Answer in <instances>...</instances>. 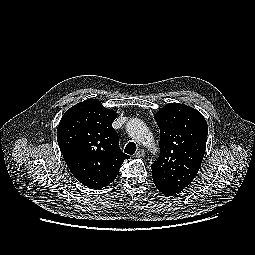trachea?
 Masks as SVG:
<instances>
[{"label":"trachea","instance_id":"obj_1","mask_svg":"<svg viewBox=\"0 0 255 255\" xmlns=\"http://www.w3.org/2000/svg\"><path fill=\"white\" fill-rule=\"evenodd\" d=\"M124 152L129 155H133L136 152V144L134 142H129L126 145Z\"/></svg>","mask_w":255,"mask_h":255}]
</instances>
